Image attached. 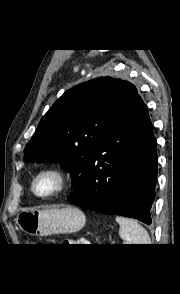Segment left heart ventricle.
<instances>
[{"instance_id": "obj_1", "label": "left heart ventricle", "mask_w": 180, "mask_h": 294, "mask_svg": "<svg viewBox=\"0 0 180 294\" xmlns=\"http://www.w3.org/2000/svg\"><path fill=\"white\" fill-rule=\"evenodd\" d=\"M56 186V179L52 176L41 177L37 182V190L41 193L51 191Z\"/></svg>"}]
</instances>
